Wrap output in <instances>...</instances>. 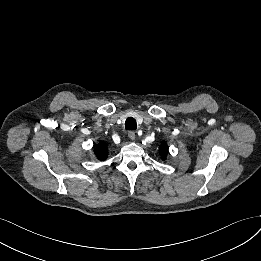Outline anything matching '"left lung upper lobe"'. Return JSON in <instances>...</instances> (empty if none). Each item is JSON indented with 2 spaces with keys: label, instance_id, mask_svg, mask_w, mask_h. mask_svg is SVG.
I'll return each mask as SVG.
<instances>
[{
  "label": "left lung upper lobe",
  "instance_id": "1",
  "mask_svg": "<svg viewBox=\"0 0 261 261\" xmlns=\"http://www.w3.org/2000/svg\"><path fill=\"white\" fill-rule=\"evenodd\" d=\"M167 153H168V151H167L166 143L163 142L162 145H161V148H160L161 157H162L163 159H165L166 156H167Z\"/></svg>",
  "mask_w": 261,
  "mask_h": 261
}]
</instances>
